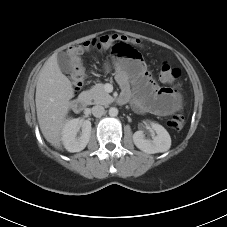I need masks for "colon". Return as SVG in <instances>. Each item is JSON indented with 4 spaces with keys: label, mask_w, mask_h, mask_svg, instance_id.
<instances>
[{
    "label": "colon",
    "mask_w": 227,
    "mask_h": 227,
    "mask_svg": "<svg viewBox=\"0 0 227 227\" xmlns=\"http://www.w3.org/2000/svg\"><path fill=\"white\" fill-rule=\"evenodd\" d=\"M139 44L138 41L129 39L123 35H106L98 39H93L79 45L70 47L67 50V56L70 62L71 79L76 88H79L83 80V68L81 55L91 49H110L111 53L119 58L137 59L138 54L134 49V45ZM180 70L172 67L167 62H162L160 66L161 81L171 84L176 90L181 86ZM168 125L174 130H181L184 127V116L181 113L171 116Z\"/></svg>",
    "instance_id": "5ec220e1"
}]
</instances>
